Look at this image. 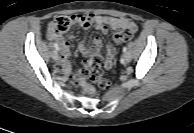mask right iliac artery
Returning <instances> with one entry per match:
<instances>
[{
  "label": "right iliac artery",
  "instance_id": "82829eb1",
  "mask_svg": "<svg viewBox=\"0 0 194 133\" xmlns=\"http://www.w3.org/2000/svg\"><path fill=\"white\" fill-rule=\"evenodd\" d=\"M54 47H55L56 51H59V46L56 42L54 43Z\"/></svg>",
  "mask_w": 194,
  "mask_h": 133
}]
</instances>
